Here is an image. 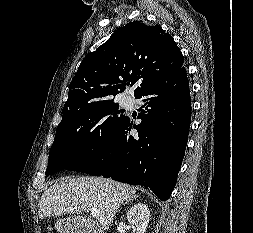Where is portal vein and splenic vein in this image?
I'll return each instance as SVG.
<instances>
[{"mask_svg": "<svg viewBox=\"0 0 253 233\" xmlns=\"http://www.w3.org/2000/svg\"><path fill=\"white\" fill-rule=\"evenodd\" d=\"M90 213L94 216H99V211L97 208H91Z\"/></svg>", "mask_w": 253, "mask_h": 233, "instance_id": "18ae733b", "label": "portal vein and splenic vein"}]
</instances>
